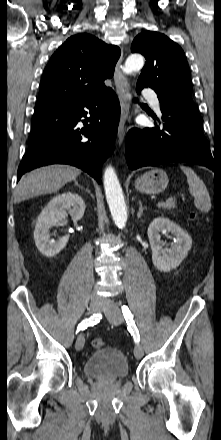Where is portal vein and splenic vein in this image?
I'll return each instance as SVG.
<instances>
[{"mask_svg": "<svg viewBox=\"0 0 221 440\" xmlns=\"http://www.w3.org/2000/svg\"><path fill=\"white\" fill-rule=\"evenodd\" d=\"M163 201L158 202L157 206L162 205Z\"/></svg>", "mask_w": 221, "mask_h": 440, "instance_id": "obj_1", "label": "portal vein and splenic vein"}]
</instances>
